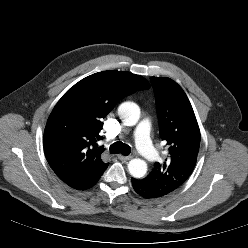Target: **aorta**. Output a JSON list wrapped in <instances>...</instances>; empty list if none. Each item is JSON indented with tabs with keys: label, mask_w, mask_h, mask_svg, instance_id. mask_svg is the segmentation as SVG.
<instances>
[{
	"label": "aorta",
	"mask_w": 248,
	"mask_h": 248,
	"mask_svg": "<svg viewBox=\"0 0 248 248\" xmlns=\"http://www.w3.org/2000/svg\"><path fill=\"white\" fill-rule=\"evenodd\" d=\"M118 115L125 125L133 126L140 118V108L134 102H124L118 107ZM128 170L133 177L141 178L147 172V163L141 159H132L128 163Z\"/></svg>",
	"instance_id": "1"
}]
</instances>
